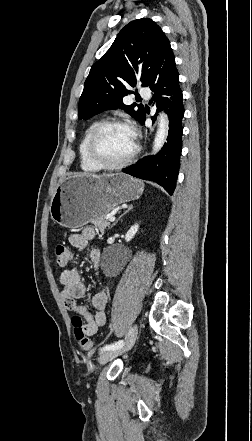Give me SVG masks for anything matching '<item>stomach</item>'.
Returning <instances> with one entry per match:
<instances>
[{
  "mask_svg": "<svg viewBox=\"0 0 252 441\" xmlns=\"http://www.w3.org/2000/svg\"><path fill=\"white\" fill-rule=\"evenodd\" d=\"M144 183L123 173L101 176L75 175L56 188L51 202V218L66 228H79L103 218L117 205L138 199Z\"/></svg>",
  "mask_w": 252,
  "mask_h": 441,
  "instance_id": "0dacf381",
  "label": "stomach"
}]
</instances>
